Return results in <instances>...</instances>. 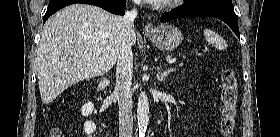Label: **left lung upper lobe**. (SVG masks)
<instances>
[{
  "mask_svg": "<svg viewBox=\"0 0 280 137\" xmlns=\"http://www.w3.org/2000/svg\"><path fill=\"white\" fill-rule=\"evenodd\" d=\"M211 2H221L232 5V0H191L190 4H201V3H211Z\"/></svg>",
  "mask_w": 280,
  "mask_h": 137,
  "instance_id": "1",
  "label": "left lung upper lobe"
}]
</instances>
